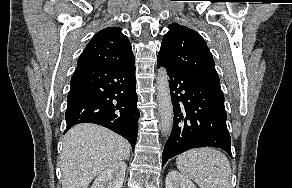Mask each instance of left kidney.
<instances>
[{"mask_svg":"<svg viewBox=\"0 0 292 188\" xmlns=\"http://www.w3.org/2000/svg\"><path fill=\"white\" fill-rule=\"evenodd\" d=\"M166 188H196L194 183L178 171H170L165 180Z\"/></svg>","mask_w":292,"mask_h":188,"instance_id":"1","label":"left kidney"}]
</instances>
